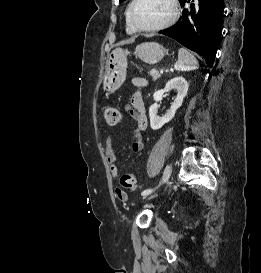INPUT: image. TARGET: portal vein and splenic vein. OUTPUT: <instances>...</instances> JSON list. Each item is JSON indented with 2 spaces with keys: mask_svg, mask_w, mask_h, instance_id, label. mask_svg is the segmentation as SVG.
Wrapping results in <instances>:
<instances>
[{
  "mask_svg": "<svg viewBox=\"0 0 261 273\" xmlns=\"http://www.w3.org/2000/svg\"><path fill=\"white\" fill-rule=\"evenodd\" d=\"M160 73H163V70H160Z\"/></svg>",
  "mask_w": 261,
  "mask_h": 273,
  "instance_id": "1",
  "label": "portal vein and splenic vein"
}]
</instances>
